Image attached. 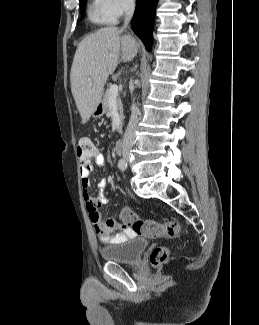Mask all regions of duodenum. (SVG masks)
Returning a JSON list of instances; mask_svg holds the SVG:
<instances>
[{
    "instance_id": "1",
    "label": "duodenum",
    "mask_w": 259,
    "mask_h": 325,
    "mask_svg": "<svg viewBox=\"0 0 259 325\" xmlns=\"http://www.w3.org/2000/svg\"><path fill=\"white\" fill-rule=\"evenodd\" d=\"M115 152L120 154L123 150V141L121 139L117 140L114 146Z\"/></svg>"
}]
</instances>
